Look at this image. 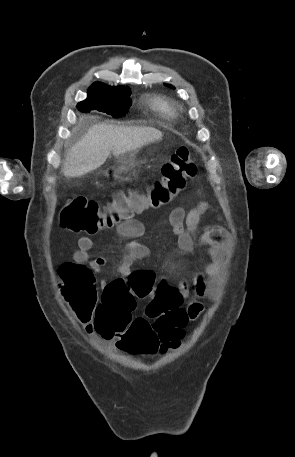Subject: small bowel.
<instances>
[{
	"label": "small bowel",
	"instance_id": "c3829d8e",
	"mask_svg": "<svg viewBox=\"0 0 295 457\" xmlns=\"http://www.w3.org/2000/svg\"><path fill=\"white\" fill-rule=\"evenodd\" d=\"M210 211H212L210 204L201 202L188 212L180 207L174 208L169 216L172 231L178 236V250L181 253H191L196 244H199L205 247L209 258L202 269L194 275L191 282L184 280L177 285L174 299L181 304L191 292L199 299L211 296L222 271L226 257L227 231L221 226H210L205 228L200 235L197 234L201 218ZM115 232L121 238L131 239L128 244L129 253L120 265L121 274L127 277L131 274L132 265L149 255L148 246L136 240L144 235L145 228L141 221L132 217L116 225ZM92 247L93 240L90 237H81L78 240V250L74 253V260L79 264L88 263L93 270L99 271L105 266L106 259L104 257L90 259L89 251ZM107 285L105 281L101 283L102 287ZM185 310L188 324L201 315L204 306L199 301H193ZM79 320L87 332L94 330L92 321Z\"/></svg>",
	"mask_w": 295,
	"mask_h": 457
}]
</instances>
